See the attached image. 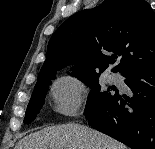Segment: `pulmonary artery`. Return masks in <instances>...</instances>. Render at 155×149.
<instances>
[{"mask_svg":"<svg viewBox=\"0 0 155 149\" xmlns=\"http://www.w3.org/2000/svg\"><path fill=\"white\" fill-rule=\"evenodd\" d=\"M111 79L113 81H117L118 80V76L116 74H114V75L111 76Z\"/></svg>","mask_w":155,"mask_h":149,"instance_id":"pulmonary-artery-1","label":"pulmonary artery"}]
</instances>
